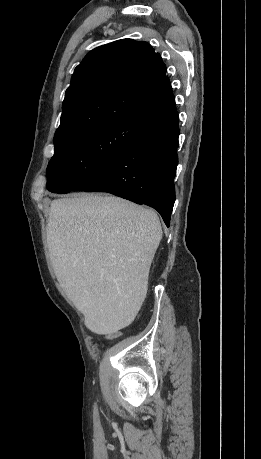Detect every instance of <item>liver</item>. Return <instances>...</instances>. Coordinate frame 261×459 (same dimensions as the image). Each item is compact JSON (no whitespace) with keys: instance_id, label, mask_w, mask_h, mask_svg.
Wrapping results in <instances>:
<instances>
[{"instance_id":"1","label":"liver","mask_w":261,"mask_h":459,"mask_svg":"<svg viewBox=\"0 0 261 459\" xmlns=\"http://www.w3.org/2000/svg\"><path fill=\"white\" fill-rule=\"evenodd\" d=\"M161 238L156 212L122 198L82 193L52 201L53 269L89 330L109 334L125 326Z\"/></svg>"}]
</instances>
